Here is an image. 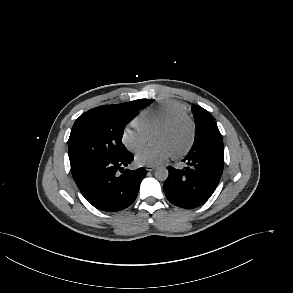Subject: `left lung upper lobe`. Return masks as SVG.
<instances>
[{
  "label": "left lung upper lobe",
  "instance_id": "5c2ea615",
  "mask_svg": "<svg viewBox=\"0 0 293 293\" xmlns=\"http://www.w3.org/2000/svg\"><path fill=\"white\" fill-rule=\"evenodd\" d=\"M192 113L196 124L195 140L192 147L213 144L223 148L222 136L213 116L207 110L196 105L192 106Z\"/></svg>",
  "mask_w": 293,
  "mask_h": 293
}]
</instances>
